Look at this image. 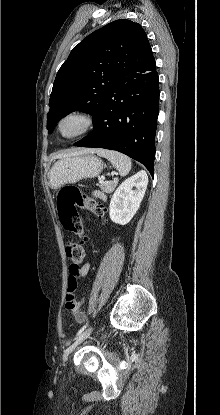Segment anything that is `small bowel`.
Returning <instances> with one entry per match:
<instances>
[{
    "label": "small bowel",
    "instance_id": "1",
    "mask_svg": "<svg viewBox=\"0 0 220 415\" xmlns=\"http://www.w3.org/2000/svg\"><path fill=\"white\" fill-rule=\"evenodd\" d=\"M95 197L101 200L104 199V195L102 193H96ZM87 204L91 208L94 206L93 200H89ZM89 270H90V264L89 263L83 264L82 267L79 269L80 277L86 276ZM82 306H83V301L77 300L76 304L73 307H66L78 323H83L86 319V315L84 311L82 310Z\"/></svg>",
    "mask_w": 220,
    "mask_h": 415
}]
</instances>
